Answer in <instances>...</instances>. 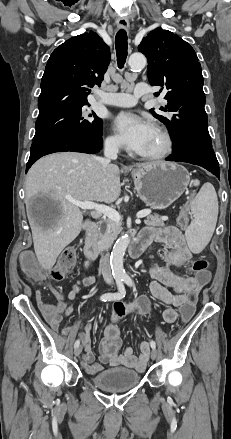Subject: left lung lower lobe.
<instances>
[{"instance_id": "1", "label": "left lung lower lobe", "mask_w": 231, "mask_h": 439, "mask_svg": "<svg viewBox=\"0 0 231 439\" xmlns=\"http://www.w3.org/2000/svg\"><path fill=\"white\" fill-rule=\"evenodd\" d=\"M166 160L199 165L218 178L220 175L219 163L211 146L197 143L186 144L174 149L173 154Z\"/></svg>"}]
</instances>
